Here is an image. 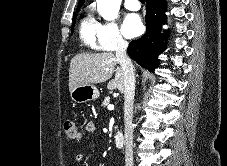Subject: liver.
<instances>
[{
    "label": "liver",
    "instance_id": "liver-1",
    "mask_svg": "<svg viewBox=\"0 0 227 166\" xmlns=\"http://www.w3.org/2000/svg\"><path fill=\"white\" fill-rule=\"evenodd\" d=\"M112 52L81 53L74 56L69 68V91L82 85H93L108 81L114 72L115 78L108 83V89H118L123 92L124 75L122 67L115 70L118 64Z\"/></svg>",
    "mask_w": 227,
    "mask_h": 166
}]
</instances>
